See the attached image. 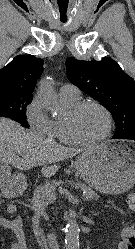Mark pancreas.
Masks as SVG:
<instances>
[{"label":"pancreas","mask_w":135,"mask_h":249,"mask_svg":"<svg viewBox=\"0 0 135 249\" xmlns=\"http://www.w3.org/2000/svg\"><path fill=\"white\" fill-rule=\"evenodd\" d=\"M61 183V181H53L52 183L45 184L44 186L37 188L32 198V209L38 210L41 213L44 212L47 204L51 202L49 195L53 194L56 187ZM84 191L88 200H91L95 197L98 198V195L91 188L86 187L84 188Z\"/></svg>","instance_id":"cf45deb5"}]
</instances>
